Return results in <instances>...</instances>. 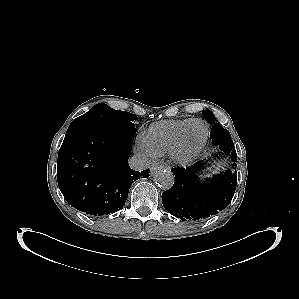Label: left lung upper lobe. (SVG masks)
I'll return each instance as SVG.
<instances>
[{
	"label": "left lung upper lobe",
	"mask_w": 299,
	"mask_h": 299,
	"mask_svg": "<svg viewBox=\"0 0 299 299\" xmlns=\"http://www.w3.org/2000/svg\"><path fill=\"white\" fill-rule=\"evenodd\" d=\"M203 115L208 123L213 124V127L210 132V137L212 139L213 145L217 146L222 142L232 141L229 131L223 129L220 123H215V116L210 110H204Z\"/></svg>",
	"instance_id": "5c2ea615"
}]
</instances>
